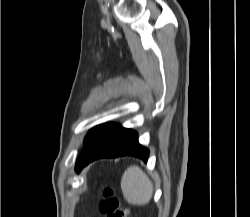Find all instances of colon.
<instances>
[{
    "mask_svg": "<svg viewBox=\"0 0 250 217\" xmlns=\"http://www.w3.org/2000/svg\"><path fill=\"white\" fill-rule=\"evenodd\" d=\"M99 210L104 217H129L120 197L111 188L105 187L101 193Z\"/></svg>",
    "mask_w": 250,
    "mask_h": 217,
    "instance_id": "obj_1",
    "label": "colon"
}]
</instances>
